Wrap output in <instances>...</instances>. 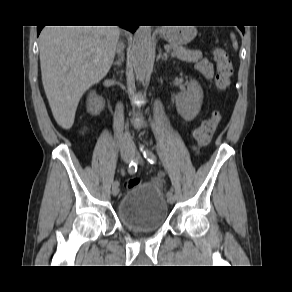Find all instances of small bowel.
Returning a JSON list of instances; mask_svg holds the SVG:
<instances>
[{"label":"small bowel","mask_w":292,"mask_h":292,"mask_svg":"<svg viewBox=\"0 0 292 292\" xmlns=\"http://www.w3.org/2000/svg\"><path fill=\"white\" fill-rule=\"evenodd\" d=\"M195 68L206 79H211L214 75L213 64L208 59H201L197 62Z\"/></svg>","instance_id":"1"}]
</instances>
